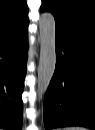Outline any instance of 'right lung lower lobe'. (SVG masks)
Returning a JSON list of instances; mask_svg holds the SVG:
<instances>
[{"instance_id":"obj_1","label":"right lung lower lobe","mask_w":95,"mask_h":130,"mask_svg":"<svg viewBox=\"0 0 95 130\" xmlns=\"http://www.w3.org/2000/svg\"><path fill=\"white\" fill-rule=\"evenodd\" d=\"M27 50V30L0 42V126L10 130L22 129Z\"/></svg>"}]
</instances>
